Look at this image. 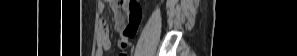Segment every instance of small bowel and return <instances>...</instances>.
I'll return each instance as SVG.
<instances>
[{"instance_id":"c3829d8e","label":"small bowel","mask_w":297,"mask_h":56,"mask_svg":"<svg viewBox=\"0 0 297 56\" xmlns=\"http://www.w3.org/2000/svg\"><path fill=\"white\" fill-rule=\"evenodd\" d=\"M114 13V28L120 33V44L125 47L129 39L134 37L141 20V8L136 1H107ZM103 9V7H102ZM96 56H103L111 47L109 26L102 20L97 38ZM125 56V54H122Z\"/></svg>"}]
</instances>
